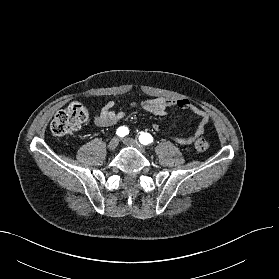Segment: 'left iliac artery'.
Returning a JSON list of instances; mask_svg holds the SVG:
<instances>
[{
    "mask_svg": "<svg viewBox=\"0 0 279 279\" xmlns=\"http://www.w3.org/2000/svg\"><path fill=\"white\" fill-rule=\"evenodd\" d=\"M139 141L143 145H148L153 142V137L149 133L141 132V134L139 136Z\"/></svg>",
    "mask_w": 279,
    "mask_h": 279,
    "instance_id": "44dca946",
    "label": "left iliac artery"
}]
</instances>
